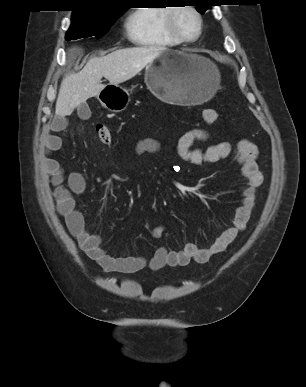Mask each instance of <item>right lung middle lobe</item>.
I'll return each instance as SVG.
<instances>
[{
    "label": "right lung middle lobe",
    "instance_id": "1",
    "mask_svg": "<svg viewBox=\"0 0 306 387\" xmlns=\"http://www.w3.org/2000/svg\"><path fill=\"white\" fill-rule=\"evenodd\" d=\"M124 11L94 18L72 17V24L66 34V39L76 40L91 36L101 38L109 31L111 25L114 24L115 20L118 19Z\"/></svg>",
    "mask_w": 306,
    "mask_h": 387
}]
</instances>
